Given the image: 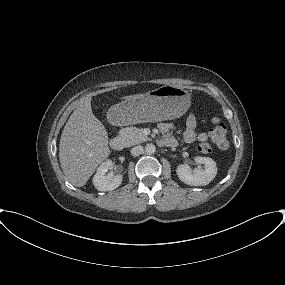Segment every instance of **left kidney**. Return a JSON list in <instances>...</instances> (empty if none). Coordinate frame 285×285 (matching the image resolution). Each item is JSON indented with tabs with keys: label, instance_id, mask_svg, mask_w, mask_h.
Instances as JSON below:
<instances>
[{
	"label": "left kidney",
	"instance_id": "1",
	"mask_svg": "<svg viewBox=\"0 0 285 285\" xmlns=\"http://www.w3.org/2000/svg\"><path fill=\"white\" fill-rule=\"evenodd\" d=\"M195 161L198 164H204V169L195 168L192 171L189 165L181 164L176 169L179 179L191 186L208 185L217 174L216 162L209 157L201 156L196 157Z\"/></svg>",
	"mask_w": 285,
	"mask_h": 285
}]
</instances>
